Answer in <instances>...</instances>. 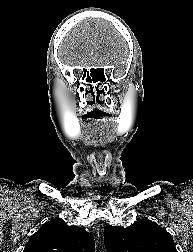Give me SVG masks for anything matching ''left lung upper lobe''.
I'll return each instance as SVG.
<instances>
[{"label": "left lung upper lobe", "instance_id": "5c2ea615", "mask_svg": "<svg viewBox=\"0 0 193 252\" xmlns=\"http://www.w3.org/2000/svg\"><path fill=\"white\" fill-rule=\"evenodd\" d=\"M104 237L107 252H177L171 234L145 219L126 228L107 225Z\"/></svg>", "mask_w": 193, "mask_h": 252}]
</instances>
